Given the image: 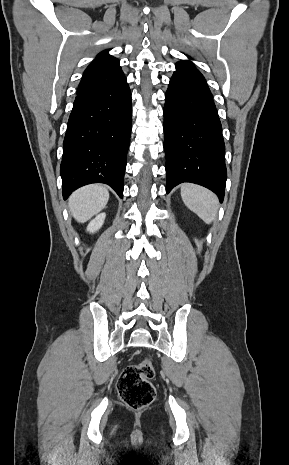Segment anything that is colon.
<instances>
[{"instance_id": "5ec220e1", "label": "colon", "mask_w": 289, "mask_h": 465, "mask_svg": "<svg viewBox=\"0 0 289 465\" xmlns=\"http://www.w3.org/2000/svg\"><path fill=\"white\" fill-rule=\"evenodd\" d=\"M154 376L155 369L148 358L126 367L118 381L121 400L132 409L150 405L155 398V388L151 383Z\"/></svg>"}]
</instances>
